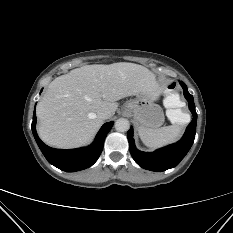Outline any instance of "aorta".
<instances>
[{"label": "aorta", "mask_w": 233, "mask_h": 233, "mask_svg": "<svg viewBox=\"0 0 233 233\" xmlns=\"http://www.w3.org/2000/svg\"><path fill=\"white\" fill-rule=\"evenodd\" d=\"M130 128V123L127 119L120 118L115 122V129L118 132H126Z\"/></svg>", "instance_id": "aorta-1"}]
</instances>
